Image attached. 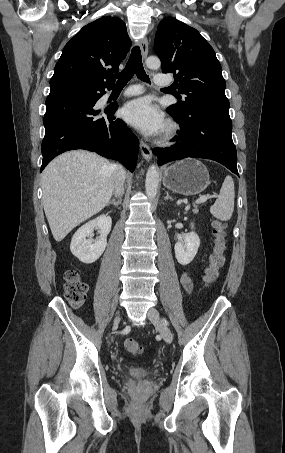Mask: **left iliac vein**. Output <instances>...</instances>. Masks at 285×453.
I'll return each mask as SVG.
<instances>
[{
    "label": "left iliac vein",
    "mask_w": 285,
    "mask_h": 453,
    "mask_svg": "<svg viewBox=\"0 0 285 453\" xmlns=\"http://www.w3.org/2000/svg\"><path fill=\"white\" fill-rule=\"evenodd\" d=\"M147 317L153 323V325L160 331L165 342L171 343L173 340V335L170 329L161 320L159 312L155 308H150L148 310Z\"/></svg>",
    "instance_id": "obj_1"
}]
</instances>
